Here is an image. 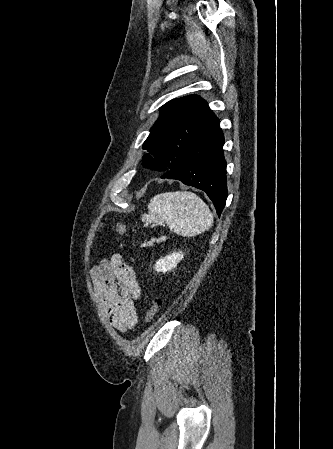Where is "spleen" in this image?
<instances>
[{
  "label": "spleen",
  "mask_w": 333,
  "mask_h": 449,
  "mask_svg": "<svg viewBox=\"0 0 333 449\" xmlns=\"http://www.w3.org/2000/svg\"><path fill=\"white\" fill-rule=\"evenodd\" d=\"M142 221L167 223L176 234L195 236L211 227L213 214L195 193L175 191L155 195L148 205V214L142 216Z\"/></svg>",
  "instance_id": "obj_1"
}]
</instances>
